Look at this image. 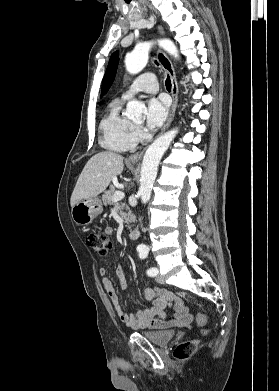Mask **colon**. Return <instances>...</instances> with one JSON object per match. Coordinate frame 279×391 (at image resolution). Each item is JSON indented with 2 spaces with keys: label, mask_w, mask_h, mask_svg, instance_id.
I'll list each match as a JSON object with an SVG mask.
<instances>
[{
  "label": "colon",
  "mask_w": 279,
  "mask_h": 391,
  "mask_svg": "<svg viewBox=\"0 0 279 391\" xmlns=\"http://www.w3.org/2000/svg\"><path fill=\"white\" fill-rule=\"evenodd\" d=\"M86 241L89 247L99 256H106L112 248L111 239L102 233L91 232L87 235ZM196 322L201 326H205L207 322L206 313L197 315ZM205 332L206 330L203 329V333ZM197 345L198 341L196 340L185 341L176 347L174 356L179 360H186L194 354Z\"/></svg>",
  "instance_id": "obj_1"
}]
</instances>
